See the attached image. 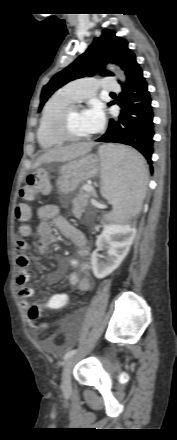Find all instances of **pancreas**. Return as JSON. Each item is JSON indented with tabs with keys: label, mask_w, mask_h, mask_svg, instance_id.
Masks as SVG:
<instances>
[{
	"label": "pancreas",
	"mask_w": 177,
	"mask_h": 440,
	"mask_svg": "<svg viewBox=\"0 0 177 440\" xmlns=\"http://www.w3.org/2000/svg\"><path fill=\"white\" fill-rule=\"evenodd\" d=\"M85 190V191H84ZM93 195L92 191H87L86 187H84L77 195V197L73 201V209L72 213L76 218H80L81 214L84 212L88 199Z\"/></svg>",
	"instance_id": "pancreas-1"
}]
</instances>
